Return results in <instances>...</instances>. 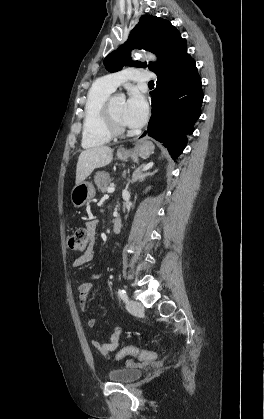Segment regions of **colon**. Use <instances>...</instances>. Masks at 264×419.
<instances>
[{
  "label": "colon",
  "instance_id": "5ec220e1",
  "mask_svg": "<svg viewBox=\"0 0 264 419\" xmlns=\"http://www.w3.org/2000/svg\"><path fill=\"white\" fill-rule=\"evenodd\" d=\"M89 233L86 228H77L69 239L70 248L78 253H85L88 249ZM125 356H133L139 360L148 361L158 357V354L153 351L141 350L133 346H126L120 349L116 354V359H121Z\"/></svg>",
  "mask_w": 264,
  "mask_h": 419
}]
</instances>
